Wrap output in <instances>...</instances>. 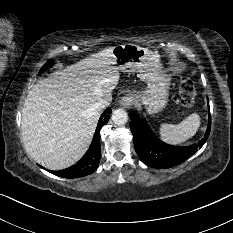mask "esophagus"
I'll return each mask as SVG.
<instances>
[{"label": "esophagus", "instance_id": "esophagus-1", "mask_svg": "<svg viewBox=\"0 0 233 233\" xmlns=\"http://www.w3.org/2000/svg\"><path fill=\"white\" fill-rule=\"evenodd\" d=\"M134 103L135 99L133 96L130 95H127L120 100V104L125 108L131 107L132 105H134Z\"/></svg>", "mask_w": 233, "mask_h": 233}]
</instances>
